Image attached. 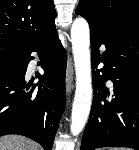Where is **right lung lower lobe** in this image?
<instances>
[{
    "label": "right lung lower lobe",
    "instance_id": "obj_1",
    "mask_svg": "<svg viewBox=\"0 0 139 150\" xmlns=\"http://www.w3.org/2000/svg\"><path fill=\"white\" fill-rule=\"evenodd\" d=\"M32 52H38L44 75L29 90L25 74ZM66 63L55 26L35 44L0 57V136L23 135L51 150L65 104Z\"/></svg>",
    "mask_w": 139,
    "mask_h": 150
}]
</instances>
